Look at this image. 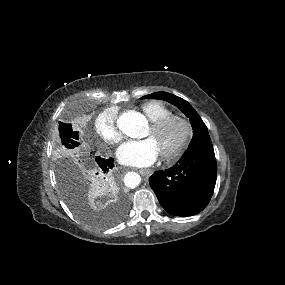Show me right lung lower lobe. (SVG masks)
Returning a JSON list of instances; mask_svg holds the SVG:
<instances>
[{"label":"right lung lower lobe","instance_id":"right-lung-lower-lobe-1","mask_svg":"<svg viewBox=\"0 0 285 285\" xmlns=\"http://www.w3.org/2000/svg\"><path fill=\"white\" fill-rule=\"evenodd\" d=\"M95 160L102 174V180L100 182L105 185H110L112 182L111 169L114 167L113 159L112 158L105 159L101 158L100 156H96Z\"/></svg>","mask_w":285,"mask_h":285}]
</instances>
